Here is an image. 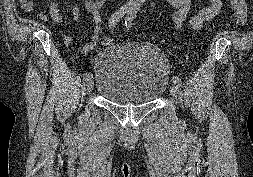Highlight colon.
<instances>
[{
    "label": "colon",
    "mask_w": 253,
    "mask_h": 177,
    "mask_svg": "<svg viewBox=\"0 0 253 177\" xmlns=\"http://www.w3.org/2000/svg\"><path fill=\"white\" fill-rule=\"evenodd\" d=\"M233 6V24L236 26H242L245 24L247 19V5L246 0H231ZM104 46H112L114 44L113 35L110 32L105 33L102 38Z\"/></svg>",
    "instance_id": "colon-1"
}]
</instances>
